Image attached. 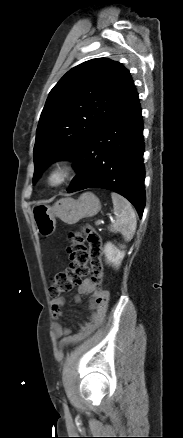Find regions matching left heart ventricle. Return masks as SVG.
<instances>
[{"instance_id": "obj_1", "label": "left heart ventricle", "mask_w": 183, "mask_h": 438, "mask_svg": "<svg viewBox=\"0 0 183 438\" xmlns=\"http://www.w3.org/2000/svg\"><path fill=\"white\" fill-rule=\"evenodd\" d=\"M58 179H59V177H58L57 175H55V176L52 178V181H53V182H57Z\"/></svg>"}]
</instances>
